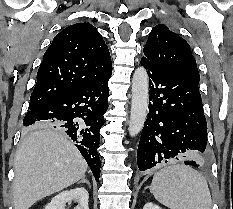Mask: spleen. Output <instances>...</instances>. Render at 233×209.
Listing matches in <instances>:
<instances>
[{
    "label": "spleen",
    "instance_id": "1",
    "mask_svg": "<svg viewBox=\"0 0 233 209\" xmlns=\"http://www.w3.org/2000/svg\"><path fill=\"white\" fill-rule=\"evenodd\" d=\"M155 199L170 209H211L212 200L202 174L183 164L158 171L152 180Z\"/></svg>",
    "mask_w": 233,
    "mask_h": 209
}]
</instances>
